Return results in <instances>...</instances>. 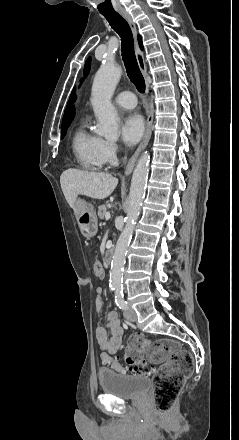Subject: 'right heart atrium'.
Masks as SVG:
<instances>
[{"instance_id":"d8ad5b80","label":"right heart atrium","mask_w":239,"mask_h":440,"mask_svg":"<svg viewBox=\"0 0 239 440\" xmlns=\"http://www.w3.org/2000/svg\"><path fill=\"white\" fill-rule=\"evenodd\" d=\"M100 153L105 164H112L116 158L117 147L113 142L101 139Z\"/></svg>"}]
</instances>
